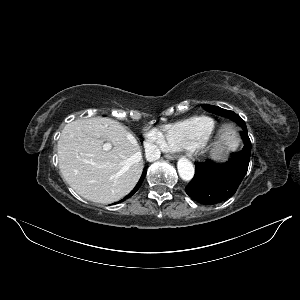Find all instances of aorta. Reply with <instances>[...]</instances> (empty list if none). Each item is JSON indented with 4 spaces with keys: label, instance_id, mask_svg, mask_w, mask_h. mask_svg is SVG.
I'll return each instance as SVG.
<instances>
[{
    "label": "aorta",
    "instance_id": "aorta-1",
    "mask_svg": "<svg viewBox=\"0 0 300 300\" xmlns=\"http://www.w3.org/2000/svg\"><path fill=\"white\" fill-rule=\"evenodd\" d=\"M179 176L184 181H190L194 177L195 168L192 162L186 158H180L177 162Z\"/></svg>",
    "mask_w": 300,
    "mask_h": 300
}]
</instances>
